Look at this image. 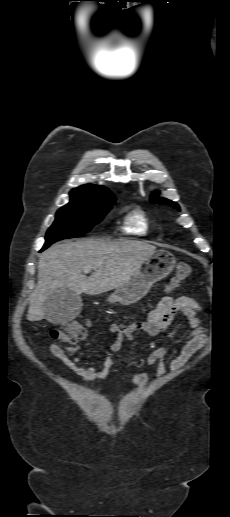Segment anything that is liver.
I'll list each match as a JSON object with an SVG mask.
<instances>
[{
	"label": "liver",
	"instance_id": "1",
	"mask_svg": "<svg viewBox=\"0 0 230 517\" xmlns=\"http://www.w3.org/2000/svg\"><path fill=\"white\" fill-rule=\"evenodd\" d=\"M155 250V246L143 242L94 239L51 246L39 259L38 283L30 298L27 320L46 318L45 301L57 290L97 295L122 286ZM87 266L94 270L89 277L82 273Z\"/></svg>",
	"mask_w": 230,
	"mask_h": 517
}]
</instances>
